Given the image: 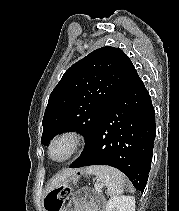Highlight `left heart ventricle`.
Listing matches in <instances>:
<instances>
[{
    "label": "left heart ventricle",
    "mask_w": 179,
    "mask_h": 211,
    "mask_svg": "<svg viewBox=\"0 0 179 211\" xmlns=\"http://www.w3.org/2000/svg\"><path fill=\"white\" fill-rule=\"evenodd\" d=\"M68 151V144L65 142L57 144L53 149L54 158H62Z\"/></svg>",
    "instance_id": "obj_1"
}]
</instances>
